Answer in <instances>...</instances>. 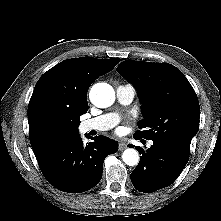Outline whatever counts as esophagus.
Wrapping results in <instances>:
<instances>
[{
	"label": "esophagus",
	"mask_w": 221,
	"mask_h": 221,
	"mask_svg": "<svg viewBox=\"0 0 221 221\" xmlns=\"http://www.w3.org/2000/svg\"><path fill=\"white\" fill-rule=\"evenodd\" d=\"M126 148V144L124 142H119V150L122 151Z\"/></svg>",
	"instance_id": "1"
}]
</instances>
